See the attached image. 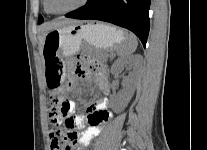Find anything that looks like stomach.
<instances>
[{"label":"stomach","instance_id":"1","mask_svg":"<svg viewBox=\"0 0 207 150\" xmlns=\"http://www.w3.org/2000/svg\"><path fill=\"white\" fill-rule=\"evenodd\" d=\"M126 41V33L112 25L99 22H78L49 31L43 41L42 57L48 87L56 88L66 78L64 58H72L85 44L99 60Z\"/></svg>","mask_w":207,"mask_h":150}]
</instances>
